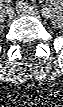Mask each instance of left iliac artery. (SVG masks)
<instances>
[{
    "label": "left iliac artery",
    "instance_id": "obj_1",
    "mask_svg": "<svg viewBox=\"0 0 63 107\" xmlns=\"http://www.w3.org/2000/svg\"><path fill=\"white\" fill-rule=\"evenodd\" d=\"M24 4H26V3H21V2H19V5H24ZM41 13H42V16H44V17H50V15H51V10H50L49 8H43V9L41 10Z\"/></svg>",
    "mask_w": 63,
    "mask_h": 107
}]
</instances>
